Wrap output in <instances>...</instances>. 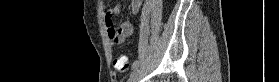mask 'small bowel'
<instances>
[{"instance_id":"obj_1","label":"small bowel","mask_w":279,"mask_h":82,"mask_svg":"<svg viewBox=\"0 0 279 82\" xmlns=\"http://www.w3.org/2000/svg\"><path fill=\"white\" fill-rule=\"evenodd\" d=\"M131 14L136 16L141 8L142 0H131ZM121 11L120 5L116 4L107 11L106 25L109 41L111 45L122 44L129 36L132 35L134 26L131 21L123 22L120 26L115 27L112 23L111 17L119 14Z\"/></svg>"}]
</instances>
